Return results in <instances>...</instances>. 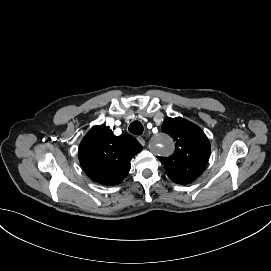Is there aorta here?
<instances>
[{
  "mask_svg": "<svg viewBox=\"0 0 271 271\" xmlns=\"http://www.w3.org/2000/svg\"><path fill=\"white\" fill-rule=\"evenodd\" d=\"M153 148L155 151L167 155L173 150V141L169 136L160 134L154 138Z\"/></svg>",
  "mask_w": 271,
  "mask_h": 271,
  "instance_id": "762f6f07",
  "label": "aorta"
}]
</instances>
